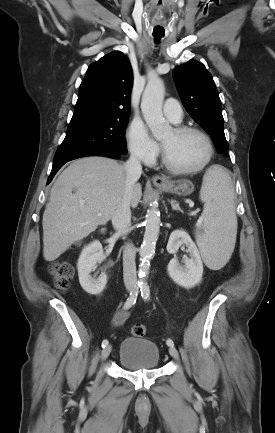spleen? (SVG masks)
Here are the masks:
<instances>
[{"instance_id": "1", "label": "spleen", "mask_w": 275, "mask_h": 433, "mask_svg": "<svg viewBox=\"0 0 275 433\" xmlns=\"http://www.w3.org/2000/svg\"><path fill=\"white\" fill-rule=\"evenodd\" d=\"M200 199L204 202L203 227L196 233V242L205 264L218 270L230 259L237 234L234 187L223 167L213 165L206 171Z\"/></svg>"}]
</instances>
